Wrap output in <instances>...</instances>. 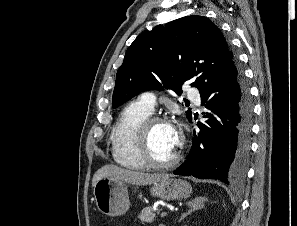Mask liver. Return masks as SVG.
<instances>
[{
  "mask_svg": "<svg viewBox=\"0 0 297 226\" xmlns=\"http://www.w3.org/2000/svg\"><path fill=\"white\" fill-rule=\"evenodd\" d=\"M170 177L168 174H149L123 169L115 165H105L98 169L93 176L92 186L101 178H111L136 185H150Z\"/></svg>",
  "mask_w": 297,
  "mask_h": 226,
  "instance_id": "obj_1",
  "label": "liver"
}]
</instances>
